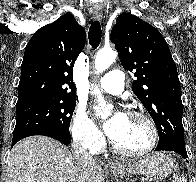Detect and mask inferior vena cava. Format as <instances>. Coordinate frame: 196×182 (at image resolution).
Listing matches in <instances>:
<instances>
[{
    "mask_svg": "<svg viewBox=\"0 0 196 182\" xmlns=\"http://www.w3.org/2000/svg\"><path fill=\"white\" fill-rule=\"evenodd\" d=\"M72 151L77 159H92V156L87 152L81 142H74L72 145Z\"/></svg>",
    "mask_w": 196,
    "mask_h": 182,
    "instance_id": "inferior-vena-cava-1",
    "label": "inferior vena cava"
}]
</instances>
